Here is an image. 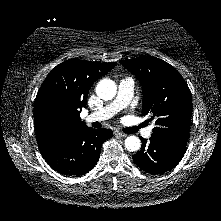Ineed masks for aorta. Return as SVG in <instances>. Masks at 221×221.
Here are the masks:
<instances>
[{"mask_svg":"<svg viewBox=\"0 0 221 221\" xmlns=\"http://www.w3.org/2000/svg\"><path fill=\"white\" fill-rule=\"evenodd\" d=\"M117 93V87L114 81L111 79L101 80L96 87V94L103 100H111ZM141 147V141L136 136H128L125 139V148L128 151L135 152Z\"/></svg>","mask_w":221,"mask_h":221,"instance_id":"obj_1","label":"aorta"}]
</instances>
